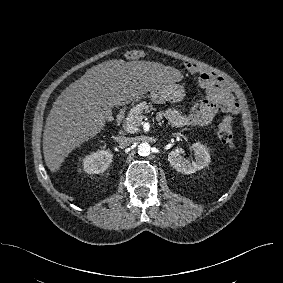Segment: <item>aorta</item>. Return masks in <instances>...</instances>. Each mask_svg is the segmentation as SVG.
<instances>
[{"instance_id":"aorta-1","label":"aorta","mask_w":283,"mask_h":283,"mask_svg":"<svg viewBox=\"0 0 283 283\" xmlns=\"http://www.w3.org/2000/svg\"><path fill=\"white\" fill-rule=\"evenodd\" d=\"M151 147L150 144L147 142H142L138 146V154L140 156H148L150 154Z\"/></svg>"}]
</instances>
